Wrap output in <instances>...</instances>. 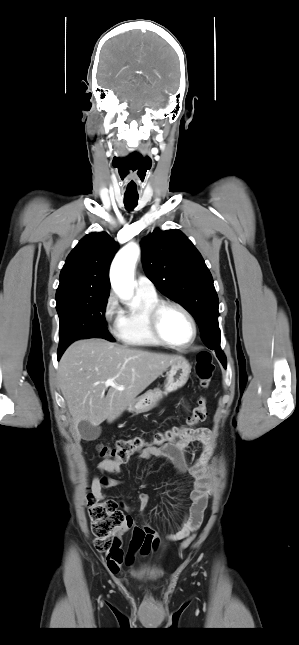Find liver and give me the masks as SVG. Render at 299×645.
Masks as SVG:
<instances>
[{"instance_id": "obj_1", "label": "liver", "mask_w": 299, "mask_h": 645, "mask_svg": "<svg viewBox=\"0 0 299 645\" xmlns=\"http://www.w3.org/2000/svg\"><path fill=\"white\" fill-rule=\"evenodd\" d=\"M184 359L130 348L104 339L92 338L74 342L64 352L58 367V385L73 417L79 440L78 425L88 421L98 426L105 420L115 421L136 397L175 362ZM113 379L118 387L105 381Z\"/></svg>"}]
</instances>
